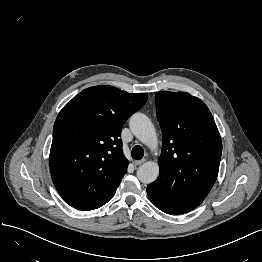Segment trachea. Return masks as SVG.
Segmentation results:
<instances>
[{"label":"trachea","instance_id":"trachea-1","mask_svg":"<svg viewBox=\"0 0 262 262\" xmlns=\"http://www.w3.org/2000/svg\"><path fill=\"white\" fill-rule=\"evenodd\" d=\"M143 156H144L143 148L139 145L134 146L132 149V158L136 160H140L142 159Z\"/></svg>","mask_w":262,"mask_h":262}]
</instances>
